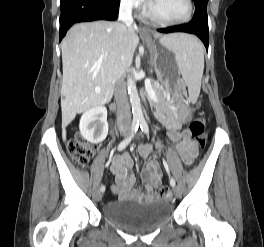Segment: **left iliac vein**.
Here are the masks:
<instances>
[{
  "label": "left iliac vein",
  "instance_id": "left-iliac-vein-1",
  "mask_svg": "<svg viewBox=\"0 0 264 247\" xmlns=\"http://www.w3.org/2000/svg\"><path fill=\"white\" fill-rule=\"evenodd\" d=\"M173 193H174V195L176 196V197H180L181 196V190H180V188L179 187H174L173 188Z\"/></svg>",
  "mask_w": 264,
  "mask_h": 247
}]
</instances>
